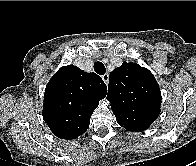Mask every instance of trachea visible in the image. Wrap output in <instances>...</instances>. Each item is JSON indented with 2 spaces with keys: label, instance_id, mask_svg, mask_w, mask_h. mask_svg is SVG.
<instances>
[{
  "label": "trachea",
  "instance_id": "1",
  "mask_svg": "<svg viewBox=\"0 0 196 166\" xmlns=\"http://www.w3.org/2000/svg\"><path fill=\"white\" fill-rule=\"evenodd\" d=\"M94 70L99 75H103L106 72L104 64L99 61L95 63Z\"/></svg>",
  "mask_w": 196,
  "mask_h": 166
}]
</instances>
